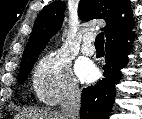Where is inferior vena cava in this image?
Returning <instances> with one entry per match:
<instances>
[{
  "label": "inferior vena cava",
  "instance_id": "inferior-vena-cava-1",
  "mask_svg": "<svg viewBox=\"0 0 142 119\" xmlns=\"http://www.w3.org/2000/svg\"><path fill=\"white\" fill-rule=\"evenodd\" d=\"M80 91L76 85H71L61 102V112L64 119H79Z\"/></svg>",
  "mask_w": 142,
  "mask_h": 119
}]
</instances>
